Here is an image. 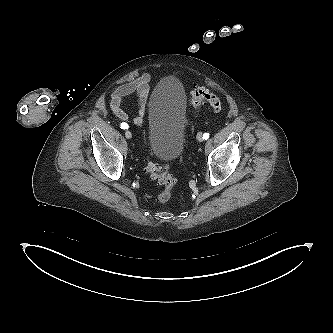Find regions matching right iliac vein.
<instances>
[{"instance_id": "right-iliac-vein-1", "label": "right iliac vein", "mask_w": 333, "mask_h": 333, "mask_svg": "<svg viewBox=\"0 0 333 333\" xmlns=\"http://www.w3.org/2000/svg\"><path fill=\"white\" fill-rule=\"evenodd\" d=\"M125 137H126L127 139L132 138V133H131L129 130H127V131L125 132Z\"/></svg>"}]
</instances>
